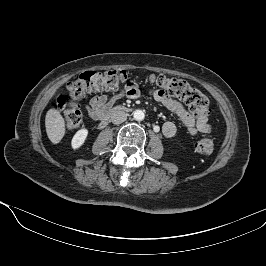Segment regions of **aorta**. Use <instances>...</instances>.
<instances>
[{"label":"aorta","mask_w":266,"mask_h":266,"mask_svg":"<svg viewBox=\"0 0 266 266\" xmlns=\"http://www.w3.org/2000/svg\"><path fill=\"white\" fill-rule=\"evenodd\" d=\"M145 117V114L142 110H135L134 113H133V118L136 120V121H142Z\"/></svg>","instance_id":"aorta-1"}]
</instances>
